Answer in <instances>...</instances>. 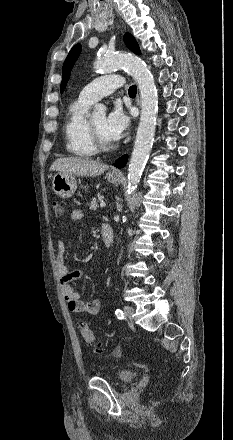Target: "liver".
I'll list each match as a JSON object with an SVG mask.
<instances>
[{"instance_id": "liver-1", "label": "liver", "mask_w": 233, "mask_h": 440, "mask_svg": "<svg viewBox=\"0 0 233 440\" xmlns=\"http://www.w3.org/2000/svg\"><path fill=\"white\" fill-rule=\"evenodd\" d=\"M109 168L108 165L87 158H59L51 165V171L73 174L77 176H98Z\"/></svg>"}]
</instances>
